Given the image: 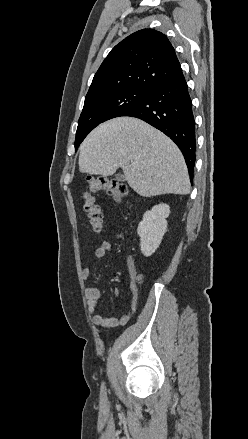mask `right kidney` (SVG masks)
I'll return each instance as SVG.
<instances>
[{
	"mask_svg": "<svg viewBox=\"0 0 248 439\" xmlns=\"http://www.w3.org/2000/svg\"><path fill=\"white\" fill-rule=\"evenodd\" d=\"M170 214L169 205L161 203L146 211L138 225L141 252L145 257L151 256L159 247L167 229L166 218Z\"/></svg>",
	"mask_w": 248,
	"mask_h": 439,
	"instance_id": "obj_1",
	"label": "right kidney"
}]
</instances>
